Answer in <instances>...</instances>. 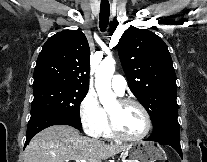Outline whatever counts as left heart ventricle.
Returning <instances> with one entry per match:
<instances>
[{
    "instance_id": "b2bd125f",
    "label": "left heart ventricle",
    "mask_w": 207,
    "mask_h": 162,
    "mask_svg": "<svg viewBox=\"0 0 207 162\" xmlns=\"http://www.w3.org/2000/svg\"><path fill=\"white\" fill-rule=\"evenodd\" d=\"M108 112L113 116L119 130L129 136H135L143 132L145 117L143 112L135 105L120 108L115 102Z\"/></svg>"
}]
</instances>
